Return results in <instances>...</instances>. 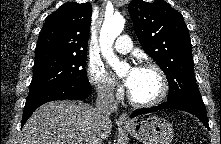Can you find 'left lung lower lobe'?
<instances>
[{"mask_svg": "<svg viewBox=\"0 0 221 144\" xmlns=\"http://www.w3.org/2000/svg\"><path fill=\"white\" fill-rule=\"evenodd\" d=\"M163 109H177L192 113L193 115L198 117L201 122L209 129L208 118L204 103L195 102L187 99L167 100V102H164L155 107L137 109L132 113L131 117Z\"/></svg>", "mask_w": 221, "mask_h": 144, "instance_id": "0a47b994", "label": "left lung lower lobe"}]
</instances>
